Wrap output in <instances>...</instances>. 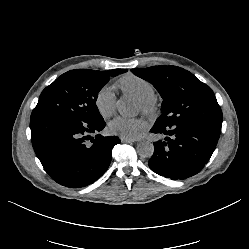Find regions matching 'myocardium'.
<instances>
[{
    "label": "myocardium",
    "mask_w": 249,
    "mask_h": 249,
    "mask_svg": "<svg viewBox=\"0 0 249 249\" xmlns=\"http://www.w3.org/2000/svg\"><path fill=\"white\" fill-rule=\"evenodd\" d=\"M140 106L144 114L147 116L151 118H155L157 116L159 104L154 96L145 100H140Z\"/></svg>",
    "instance_id": "1"
}]
</instances>
